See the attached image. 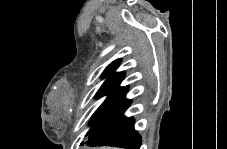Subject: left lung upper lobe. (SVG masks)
Here are the masks:
<instances>
[{
	"instance_id": "left-lung-upper-lobe-1",
	"label": "left lung upper lobe",
	"mask_w": 227,
	"mask_h": 149,
	"mask_svg": "<svg viewBox=\"0 0 227 149\" xmlns=\"http://www.w3.org/2000/svg\"><path fill=\"white\" fill-rule=\"evenodd\" d=\"M119 63L120 59L113 61L110 65L106 67L103 72V77L108 78L96 93L95 98H100L104 95H107V98L92 115V121L90 122V131H92L94 127L98 124V122L113 109V107L128 90V86L119 87V84L124 79L123 72H115V70L119 66ZM90 131L86 134V136L90 133Z\"/></svg>"
}]
</instances>
